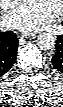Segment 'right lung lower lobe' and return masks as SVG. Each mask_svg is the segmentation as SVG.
<instances>
[{
	"mask_svg": "<svg viewBox=\"0 0 63 107\" xmlns=\"http://www.w3.org/2000/svg\"><path fill=\"white\" fill-rule=\"evenodd\" d=\"M18 49V38L12 31L4 32L1 35L0 43V74L4 75L13 66L16 60Z\"/></svg>",
	"mask_w": 63,
	"mask_h": 107,
	"instance_id": "1",
	"label": "right lung lower lobe"
}]
</instances>
